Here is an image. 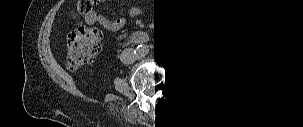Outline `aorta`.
<instances>
[{"label": "aorta", "instance_id": "obj_1", "mask_svg": "<svg viewBox=\"0 0 303 127\" xmlns=\"http://www.w3.org/2000/svg\"><path fill=\"white\" fill-rule=\"evenodd\" d=\"M150 51V47L148 45H139L137 48L138 55L140 57H145Z\"/></svg>", "mask_w": 303, "mask_h": 127}]
</instances>
